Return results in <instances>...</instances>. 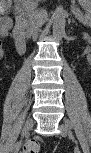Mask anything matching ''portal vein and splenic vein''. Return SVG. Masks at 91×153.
Here are the masks:
<instances>
[{
    "label": "portal vein and splenic vein",
    "instance_id": "obj_1",
    "mask_svg": "<svg viewBox=\"0 0 91 153\" xmlns=\"http://www.w3.org/2000/svg\"><path fill=\"white\" fill-rule=\"evenodd\" d=\"M80 15H81V13L78 12V13H77V16H80ZM79 21H80V20H79Z\"/></svg>",
    "mask_w": 91,
    "mask_h": 153
}]
</instances>
